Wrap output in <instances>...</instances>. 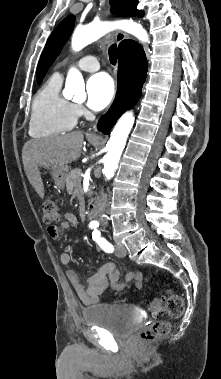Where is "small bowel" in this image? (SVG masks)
<instances>
[{
    "label": "small bowel",
    "mask_w": 221,
    "mask_h": 379,
    "mask_svg": "<svg viewBox=\"0 0 221 379\" xmlns=\"http://www.w3.org/2000/svg\"><path fill=\"white\" fill-rule=\"evenodd\" d=\"M78 225L77 217L72 213H65L63 220L59 226L48 228V233L53 239H58L62 233L68 231L71 227ZM89 264L91 261L86 258ZM60 261L64 266H68L71 262V256L67 252H63ZM66 277L76 292L79 299L85 305H94L100 302V297L111 288L120 292L126 288L139 289L143 285V275L139 271H131L127 274L126 283L119 281L120 272L113 263H105L96 270H92L86 279V285H83L78 275L73 270L66 272Z\"/></svg>",
    "instance_id": "obj_1"
}]
</instances>
